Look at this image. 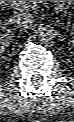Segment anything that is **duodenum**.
Segmentation results:
<instances>
[{
	"instance_id": "duodenum-1",
	"label": "duodenum",
	"mask_w": 74,
	"mask_h": 122,
	"mask_svg": "<svg viewBox=\"0 0 74 122\" xmlns=\"http://www.w3.org/2000/svg\"><path fill=\"white\" fill-rule=\"evenodd\" d=\"M4 4H8L10 3L11 1H2Z\"/></svg>"
}]
</instances>
